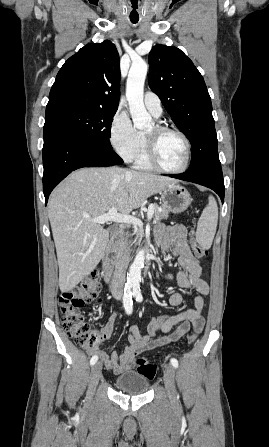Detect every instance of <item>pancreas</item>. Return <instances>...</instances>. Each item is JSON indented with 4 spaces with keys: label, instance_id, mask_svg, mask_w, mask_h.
I'll use <instances>...</instances> for the list:
<instances>
[{
    "label": "pancreas",
    "instance_id": "cf45deb5",
    "mask_svg": "<svg viewBox=\"0 0 269 447\" xmlns=\"http://www.w3.org/2000/svg\"><path fill=\"white\" fill-rule=\"evenodd\" d=\"M157 208H158V206H156L155 214H154V218H155V220H157V222H160V220H165V218H168L169 212H168V210H166L165 206H161L162 212H158ZM135 233H136L135 241L138 245V243H140V241H142V237H143L144 233H143V231H135ZM125 247H126V243L122 239V241H120V243H119L118 255H121V253H124Z\"/></svg>",
    "mask_w": 269,
    "mask_h": 447
}]
</instances>
